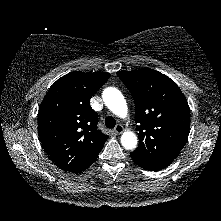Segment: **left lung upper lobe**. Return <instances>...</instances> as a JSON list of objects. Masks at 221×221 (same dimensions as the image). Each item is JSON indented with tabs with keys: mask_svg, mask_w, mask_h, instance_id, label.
Here are the masks:
<instances>
[{
	"mask_svg": "<svg viewBox=\"0 0 221 221\" xmlns=\"http://www.w3.org/2000/svg\"><path fill=\"white\" fill-rule=\"evenodd\" d=\"M117 75L135 102L139 146L133 153L172 162L189 135L185 96L173 80L153 69L119 71Z\"/></svg>",
	"mask_w": 221,
	"mask_h": 221,
	"instance_id": "left-lung-upper-lobe-1",
	"label": "left lung upper lobe"
}]
</instances>
